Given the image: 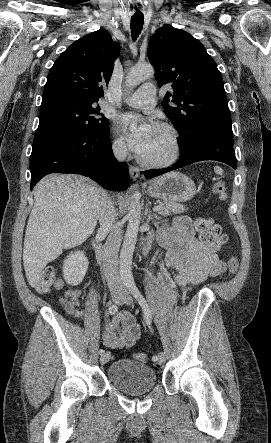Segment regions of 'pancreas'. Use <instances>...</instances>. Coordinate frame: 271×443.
<instances>
[{
  "label": "pancreas",
  "mask_w": 271,
  "mask_h": 443,
  "mask_svg": "<svg viewBox=\"0 0 271 443\" xmlns=\"http://www.w3.org/2000/svg\"><path fill=\"white\" fill-rule=\"evenodd\" d=\"M160 206H163L161 212V216H172V214H183L186 212V208L182 206V204H177V202H161Z\"/></svg>",
  "instance_id": "pancreas-1"
}]
</instances>
